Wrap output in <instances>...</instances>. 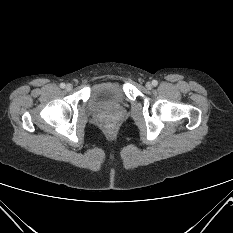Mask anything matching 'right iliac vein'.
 I'll use <instances>...</instances> for the list:
<instances>
[{
	"instance_id": "1",
	"label": "right iliac vein",
	"mask_w": 233,
	"mask_h": 233,
	"mask_svg": "<svg viewBox=\"0 0 233 233\" xmlns=\"http://www.w3.org/2000/svg\"><path fill=\"white\" fill-rule=\"evenodd\" d=\"M72 88H73L72 84H67V85H66V90H67V91H71Z\"/></svg>"
}]
</instances>
